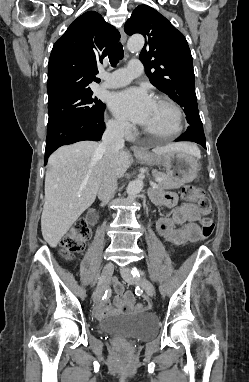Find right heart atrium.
<instances>
[{"label": "right heart atrium", "mask_w": 249, "mask_h": 382, "mask_svg": "<svg viewBox=\"0 0 249 382\" xmlns=\"http://www.w3.org/2000/svg\"><path fill=\"white\" fill-rule=\"evenodd\" d=\"M107 125L111 132L121 136L128 135L131 130L130 124L126 120L118 117L111 118Z\"/></svg>", "instance_id": "1"}]
</instances>
